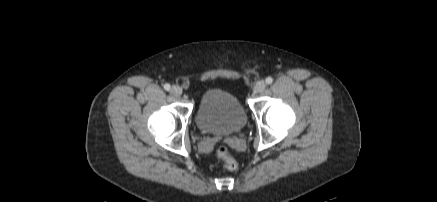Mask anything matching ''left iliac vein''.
<instances>
[{"label":"left iliac vein","instance_id":"obj_1","mask_svg":"<svg viewBox=\"0 0 437 202\" xmlns=\"http://www.w3.org/2000/svg\"><path fill=\"white\" fill-rule=\"evenodd\" d=\"M266 83L263 80L258 81L254 86V92L255 93H261L265 90Z\"/></svg>","mask_w":437,"mask_h":202}]
</instances>
